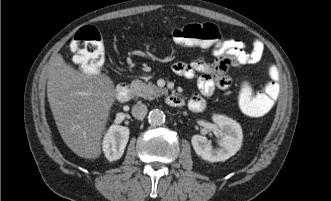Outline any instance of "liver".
Listing matches in <instances>:
<instances>
[{
	"label": "liver",
	"mask_w": 331,
	"mask_h": 201,
	"mask_svg": "<svg viewBox=\"0 0 331 201\" xmlns=\"http://www.w3.org/2000/svg\"><path fill=\"white\" fill-rule=\"evenodd\" d=\"M47 97L58 131L78 156L96 159L111 107L115 86L105 74L87 75L68 65L61 54L45 66Z\"/></svg>",
	"instance_id": "6515ba94"
}]
</instances>
